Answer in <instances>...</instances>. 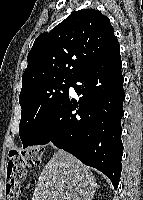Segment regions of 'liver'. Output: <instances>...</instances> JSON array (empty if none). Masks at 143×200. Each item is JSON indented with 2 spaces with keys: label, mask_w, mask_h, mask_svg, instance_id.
I'll list each match as a JSON object with an SVG mask.
<instances>
[{
  "label": "liver",
  "mask_w": 143,
  "mask_h": 200,
  "mask_svg": "<svg viewBox=\"0 0 143 200\" xmlns=\"http://www.w3.org/2000/svg\"><path fill=\"white\" fill-rule=\"evenodd\" d=\"M99 185L90 169L66 151H57L39 175L32 200L93 199ZM57 193L54 196L53 193Z\"/></svg>",
  "instance_id": "1"
}]
</instances>
